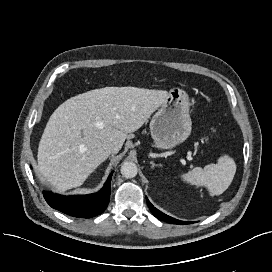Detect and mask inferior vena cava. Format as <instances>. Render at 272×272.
Masks as SVG:
<instances>
[{
	"mask_svg": "<svg viewBox=\"0 0 272 272\" xmlns=\"http://www.w3.org/2000/svg\"><path fill=\"white\" fill-rule=\"evenodd\" d=\"M103 148L106 152L110 153H116L118 151V148L115 143L113 142H107L103 145Z\"/></svg>",
	"mask_w": 272,
	"mask_h": 272,
	"instance_id": "obj_1",
	"label": "inferior vena cava"
}]
</instances>
